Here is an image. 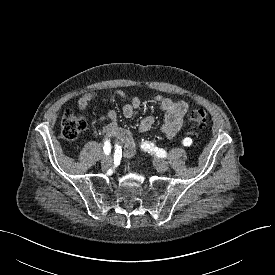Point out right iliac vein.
Instances as JSON below:
<instances>
[{"label": "right iliac vein", "instance_id": "63e3f726", "mask_svg": "<svg viewBox=\"0 0 275 275\" xmlns=\"http://www.w3.org/2000/svg\"><path fill=\"white\" fill-rule=\"evenodd\" d=\"M101 163H102V165H103L104 167L110 166L111 163H112V158H111V156L103 155V156L101 157Z\"/></svg>", "mask_w": 275, "mask_h": 275}]
</instances>
